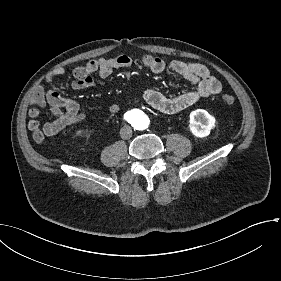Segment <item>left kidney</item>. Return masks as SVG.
Returning <instances> with one entry per match:
<instances>
[{
	"instance_id": "1",
	"label": "left kidney",
	"mask_w": 281,
	"mask_h": 281,
	"mask_svg": "<svg viewBox=\"0 0 281 281\" xmlns=\"http://www.w3.org/2000/svg\"><path fill=\"white\" fill-rule=\"evenodd\" d=\"M190 130L196 137H206L215 127V118L206 110L197 109L190 113Z\"/></svg>"
}]
</instances>
